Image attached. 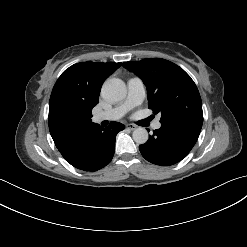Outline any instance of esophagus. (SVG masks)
Returning <instances> with one entry per match:
<instances>
[{
    "label": "esophagus",
    "instance_id": "obj_1",
    "mask_svg": "<svg viewBox=\"0 0 247 247\" xmlns=\"http://www.w3.org/2000/svg\"><path fill=\"white\" fill-rule=\"evenodd\" d=\"M126 128H128V129H130V130H135V129L137 128V126L134 125V124H127V125H126Z\"/></svg>",
    "mask_w": 247,
    "mask_h": 247
}]
</instances>
